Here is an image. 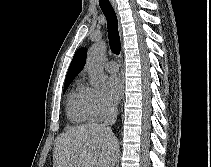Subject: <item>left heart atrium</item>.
Returning a JSON list of instances; mask_svg holds the SVG:
<instances>
[{
  "label": "left heart atrium",
  "mask_w": 211,
  "mask_h": 167,
  "mask_svg": "<svg viewBox=\"0 0 211 167\" xmlns=\"http://www.w3.org/2000/svg\"><path fill=\"white\" fill-rule=\"evenodd\" d=\"M104 91L111 103H117L124 91L122 80L117 76H109L104 81Z\"/></svg>",
  "instance_id": "39dd6f15"
}]
</instances>
